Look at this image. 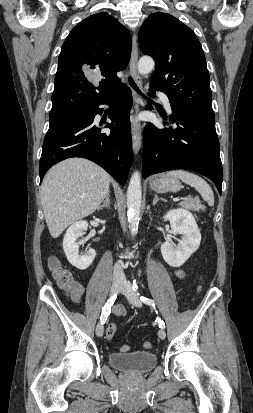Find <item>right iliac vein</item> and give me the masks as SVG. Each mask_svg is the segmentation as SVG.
Returning a JSON list of instances; mask_svg holds the SVG:
<instances>
[{
	"mask_svg": "<svg viewBox=\"0 0 253 413\" xmlns=\"http://www.w3.org/2000/svg\"><path fill=\"white\" fill-rule=\"evenodd\" d=\"M122 281L119 279H115L112 283L111 289H110V295H115L121 288ZM104 332V327L102 323H98L96 326V335L98 337H102Z\"/></svg>",
	"mask_w": 253,
	"mask_h": 413,
	"instance_id": "right-iliac-vein-1",
	"label": "right iliac vein"
}]
</instances>
